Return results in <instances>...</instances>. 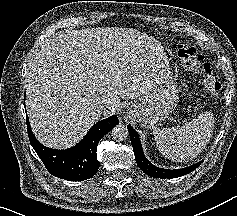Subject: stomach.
Wrapping results in <instances>:
<instances>
[{
  "mask_svg": "<svg viewBox=\"0 0 237 216\" xmlns=\"http://www.w3.org/2000/svg\"><path fill=\"white\" fill-rule=\"evenodd\" d=\"M177 89L171 84H155L138 102L129 107V115L143 127H153L176 107Z\"/></svg>",
  "mask_w": 237,
  "mask_h": 216,
  "instance_id": "0dacf381",
  "label": "stomach"
}]
</instances>
